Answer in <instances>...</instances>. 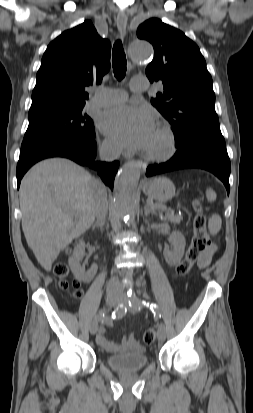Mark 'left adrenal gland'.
<instances>
[{
  "instance_id": "left-adrenal-gland-1",
  "label": "left adrenal gland",
  "mask_w": 253,
  "mask_h": 413,
  "mask_svg": "<svg viewBox=\"0 0 253 413\" xmlns=\"http://www.w3.org/2000/svg\"><path fill=\"white\" fill-rule=\"evenodd\" d=\"M144 214H145V216L147 217V216L150 215V214L156 215V212H155V210L151 209V208L149 207V205L147 204V205L145 206V208H144Z\"/></svg>"
}]
</instances>
